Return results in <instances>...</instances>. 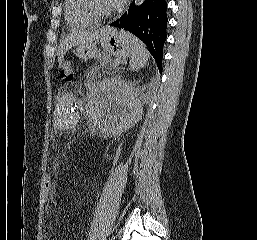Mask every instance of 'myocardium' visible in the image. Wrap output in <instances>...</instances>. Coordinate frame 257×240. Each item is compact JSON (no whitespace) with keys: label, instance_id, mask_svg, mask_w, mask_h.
<instances>
[{"label":"myocardium","instance_id":"1","mask_svg":"<svg viewBox=\"0 0 257 240\" xmlns=\"http://www.w3.org/2000/svg\"><path fill=\"white\" fill-rule=\"evenodd\" d=\"M81 11L91 20L98 22H103L110 19L113 16V11L105 14L98 13L93 7V0H79Z\"/></svg>","mask_w":257,"mask_h":240}]
</instances>
